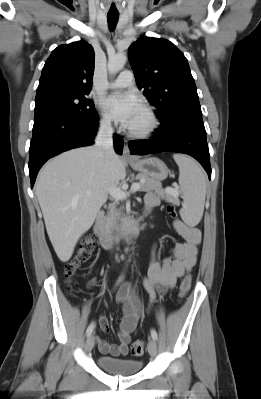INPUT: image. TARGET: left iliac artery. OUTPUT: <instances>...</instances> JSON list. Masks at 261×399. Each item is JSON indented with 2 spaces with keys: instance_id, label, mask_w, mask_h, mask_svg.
Masks as SVG:
<instances>
[{
  "instance_id": "44dca946",
  "label": "left iliac artery",
  "mask_w": 261,
  "mask_h": 399,
  "mask_svg": "<svg viewBox=\"0 0 261 399\" xmlns=\"http://www.w3.org/2000/svg\"><path fill=\"white\" fill-rule=\"evenodd\" d=\"M151 337L153 338V340H157L158 339L157 332L154 329L151 330Z\"/></svg>"
}]
</instances>
